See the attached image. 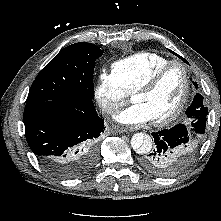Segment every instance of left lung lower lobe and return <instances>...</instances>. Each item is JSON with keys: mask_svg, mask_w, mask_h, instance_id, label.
Returning a JSON list of instances; mask_svg holds the SVG:
<instances>
[{"mask_svg": "<svg viewBox=\"0 0 221 221\" xmlns=\"http://www.w3.org/2000/svg\"><path fill=\"white\" fill-rule=\"evenodd\" d=\"M152 136L154 149L142 156L140 164L149 173L161 177L173 176L184 170L201 141L185 124L153 132Z\"/></svg>", "mask_w": 221, "mask_h": 221, "instance_id": "left-lung-lower-lobe-1", "label": "left lung lower lobe"}]
</instances>
